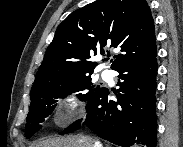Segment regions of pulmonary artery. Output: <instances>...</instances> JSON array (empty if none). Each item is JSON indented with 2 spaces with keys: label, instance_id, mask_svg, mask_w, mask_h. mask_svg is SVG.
Here are the masks:
<instances>
[{
  "label": "pulmonary artery",
  "instance_id": "1",
  "mask_svg": "<svg viewBox=\"0 0 183 147\" xmlns=\"http://www.w3.org/2000/svg\"><path fill=\"white\" fill-rule=\"evenodd\" d=\"M101 76H102L103 79L107 80V79H109V78L111 77V73H110V71H108V70H104V71L101 73Z\"/></svg>",
  "mask_w": 183,
  "mask_h": 147
}]
</instances>
